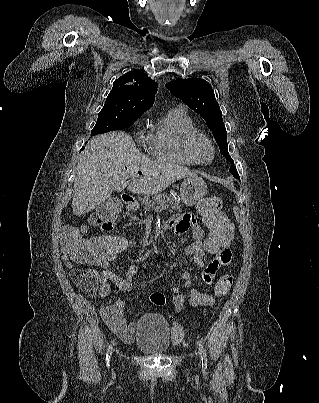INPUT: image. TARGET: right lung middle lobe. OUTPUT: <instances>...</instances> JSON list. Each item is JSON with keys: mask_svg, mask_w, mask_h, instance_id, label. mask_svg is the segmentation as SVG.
<instances>
[{"mask_svg": "<svg viewBox=\"0 0 319 403\" xmlns=\"http://www.w3.org/2000/svg\"><path fill=\"white\" fill-rule=\"evenodd\" d=\"M143 112L120 105H104L98 115L95 127L91 135L102 134L108 131H114L130 127Z\"/></svg>", "mask_w": 319, "mask_h": 403, "instance_id": "dd1d6c3e", "label": "right lung middle lobe"}]
</instances>
